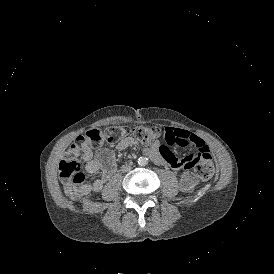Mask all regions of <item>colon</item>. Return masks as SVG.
I'll list each match as a JSON object with an SVG mask.
<instances>
[{
    "instance_id": "obj_1",
    "label": "colon",
    "mask_w": 274,
    "mask_h": 274,
    "mask_svg": "<svg viewBox=\"0 0 274 274\" xmlns=\"http://www.w3.org/2000/svg\"><path fill=\"white\" fill-rule=\"evenodd\" d=\"M127 129L123 126L107 128L104 131V137L107 143H114L121 139ZM133 136L141 141L152 143L157 139L163 138L165 130L162 132L158 127H133ZM100 137L99 134H82L71 143L67 149L65 157L60 161L58 170L64 191L70 197L74 198L79 193V190L85 186L86 175L82 171V165L78 157L79 149H97ZM196 174L184 173L181 178V183L184 189L193 190L198 183Z\"/></svg>"
}]
</instances>
